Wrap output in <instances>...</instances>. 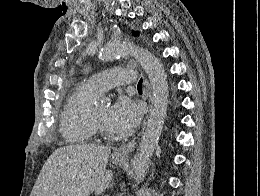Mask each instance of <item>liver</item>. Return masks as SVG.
<instances>
[{
    "label": "liver",
    "mask_w": 260,
    "mask_h": 196,
    "mask_svg": "<svg viewBox=\"0 0 260 196\" xmlns=\"http://www.w3.org/2000/svg\"><path fill=\"white\" fill-rule=\"evenodd\" d=\"M110 148L64 146L46 160L30 196H100L113 178Z\"/></svg>",
    "instance_id": "obj_1"
}]
</instances>
